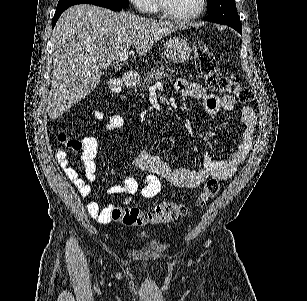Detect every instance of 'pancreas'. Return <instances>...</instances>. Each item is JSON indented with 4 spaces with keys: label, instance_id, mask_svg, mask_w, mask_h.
Here are the masks:
<instances>
[{
    "label": "pancreas",
    "instance_id": "pancreas-1",
    "mask_svg": "<svg viewBox=\"0 0 307 301\" xmlns=\"http://www.w3.org/2000/svg\"><path fill=\"white\" fill-rule=\"evenodd\" d=\"M170 74H174V70H171L169 66H156V68H151L149 72H145L143 78L137 84V88L142 94L143 90H147L152 82L161 80L162 76H170Z\"/></svg>",
    "mask_w": 307,
    "mask_h": 301
}]
</instances>
